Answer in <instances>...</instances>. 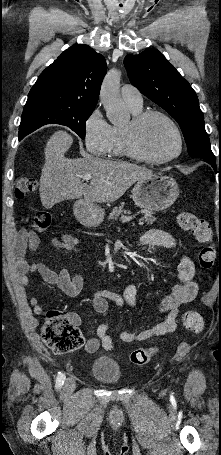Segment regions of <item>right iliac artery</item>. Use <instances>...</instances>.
I'll use <instances>...</instances> for the list:
<instances>
[{
	"label": "right iliac artery",
	"mask_w": 221,
	"mask_h": 455,
	"mask_svg": "<svg viewBox=\"0 0 221 455\" xmlns=\"http://www.w3.org/2000/svg\"><path fill=\"white\" fill-rule=\"evenodd\" d=\"M65 378H66L65 374L59 372V374L57 375V378H56V385H55L57 389H60L62 387Z\"/></svg>",
	"instance_id": "right-iliac-artery-1"
}]
</instances>
